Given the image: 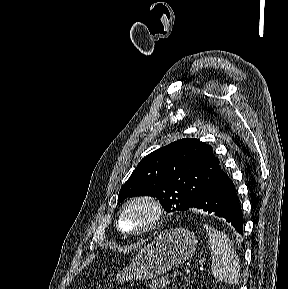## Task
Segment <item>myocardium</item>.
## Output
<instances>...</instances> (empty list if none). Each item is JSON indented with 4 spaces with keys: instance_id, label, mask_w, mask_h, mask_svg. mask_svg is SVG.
<instances>
[{
    "instance_id": "1",
    "label": "myocardium",
    "mask_w": 288,
    "mask_h": 289,
    "mask_svg": "<svg viewBox=\"0 0 288 289\" xmlns=\"http://www.w3.org/2000/svg\"><path fill=\"white\" fill-rule=\"evenodd\" d=\"M138 205L146 207L149 211L150 217L147 223L143 225L141 228L134 231H125L121 227L122 215L127 209ZM163 216H164V208L159 199H157L154 196L146 194L137 195L127 200L118 211L116 218V227L118 231L123 235L130 237L143 236L157 229L163 220Z\"/></svg>"
}]
</instances>
